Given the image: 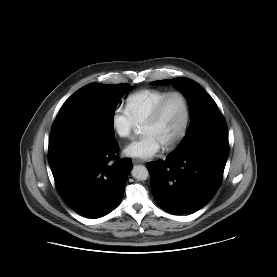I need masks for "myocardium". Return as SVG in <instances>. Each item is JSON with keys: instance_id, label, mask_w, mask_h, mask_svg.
<instances>
[{"instance_id": "myocardium-1", "label": "myocardium", "mask_w": 277, "mask_h": 277, "mask_svg": "<svg viewBox=\"0 0 277 277\" xmlns=\"http://www.w3.org/2000/svg\"><path fill=\"white\" fill-rule=\"evenodd\" d=\"M174 96H178L183 100V103L185 106V118H184V123H183V126H182L180 132L171 142H169L168 144H166L164 146L165 150L174 149L184 139V137L186 136V134L188 132L190 121H191V105H190V101H189L188 97L183 92H180V91H172V92L168 93L157 104V106L155 107L152 114L143 123V126L156 123L160 119L163 109H164L166 103L168 102V100Z\"/></svg>"}]
</instances>
